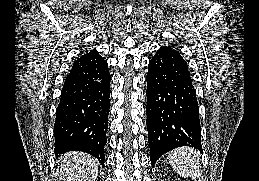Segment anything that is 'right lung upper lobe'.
<instances>
[{
  "mask_svg": "<svg viewBox=\"0 0 259 181\" xmlns=\"http://www.w3.org/2000/svg\"><path fill=\"white\" fill-rule=\"evenodd\" d=\"M95 52H96L95 50L94 51H90L89 53L85 54L84 56L90 55V54L95 53Z\"/></svg>",
  "mask_w": 259,
  "mask_h": 181,
  "instance_id": "right-lung-upper-lobe-1",
  "label": "right lung upper lobe"
}]
</instances>
